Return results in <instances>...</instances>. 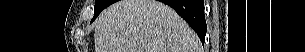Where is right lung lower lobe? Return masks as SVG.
Segmentation results:
<instances>
[{
  "label": "right lung lower lobe",
  "instance_id": "98d812e1",
  "mask_svg": "<svg viewBox=\"0 0 305 52\" xmlns=\"http://www.w3.org/2000/svg\"><path fill=\"white\" fill-rule=\"evenodd\" d=\"M160 1L172 7L194 29V31L198 34L199 38L204 44L205 34H206V21L204 17V0H160ZM114 2H116V0H110V2L106 4V7Z\"/></svg>",
  "mask_w": 305,
  "mask_h": 52
}]
</instances>
